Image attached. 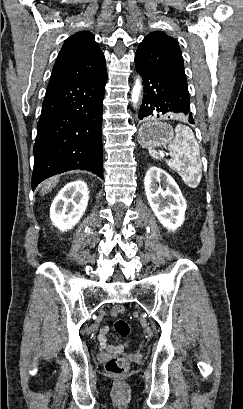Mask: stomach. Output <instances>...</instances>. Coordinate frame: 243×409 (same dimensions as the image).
<instances>
[{"mask_svg": "<svg viewBox=\"0 0 243 409\" xmlns=\"http://www.w3.org/2000/svg\"><path fill=\"white\" fill-rule=\"evenodd\" d=\"M139 143L146 148L161 147L174 139L173 128L162 121L151 120L145 122L139 129Z\"/></svg>", "mask_w": 243, "mask_h": 409, "instance_id": "0dacf381", "label": "stomach"}]
</instances>
